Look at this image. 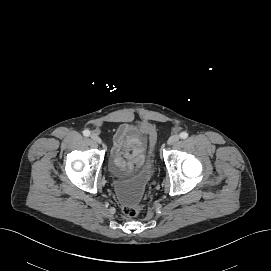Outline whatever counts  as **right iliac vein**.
I'll list each match as a JSON object with an SVG mask.
<instances>
[{
	"instance_id": "63e3f726",
	"label": "right iliac vein",
	"mask_w": 271,
	"mask_h": 271,
	"mask_svg": "<svg viewBox=\"0 0 271 271\" xmlns=\"http://www.w3.org/2000/svg\"><path fill=\"white\" fill-rule=\"evenodd\" d=\"M90 138H91V140H92L93 142H95V143L100 144V143L102 142L100 136H99L98 134H96V133H92V134L90 135Z\"/></svg>"
}]
</instances>
